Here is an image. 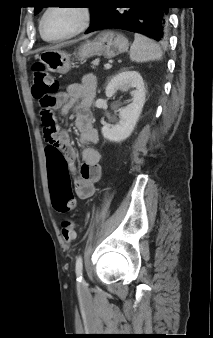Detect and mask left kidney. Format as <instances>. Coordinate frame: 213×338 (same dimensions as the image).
I'll list each match as a JSON object with an SVG mask.
<instances>
[{"mask_svg": "<svg viewBox=\"0 0 213 338\" xmlns=\"http://www.w3.org/2000/svg\"><path fill=\"white\" fill-rule=\"evenodd\" d=\"M130 88H135L131 93L132 102L119 110V122L105 125L101 129L103 137L109 141L121 142L132 134L145 104L146 91L140 73L128 69H123L112 77L106 87L107 97H112L117 90L126 91Z\"/></svg>", "mask_w": 213, "mask_h": 338, "instance_id": "obj_1", "label": "left kidney"}]
</instances>
